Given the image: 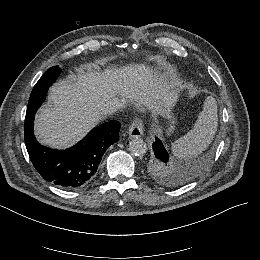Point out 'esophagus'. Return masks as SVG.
<instances>
[{
	"label": "esophagus",
	"instance_id": "34e87169",
	"mask_svg": "<svg viewBox=\"0 0 260 260\" xmlns=\"http://www.w3.org/2000/svg\"><path fill=\"white\" fill-rule=\"evenodd\" d=\"M144 133L143 121L139 118H136L128 128V134L131 138H139Z\"/></svg>",
	"mask_w": 260,
	"mask_h": 260
}]
</instances>
